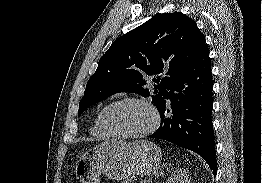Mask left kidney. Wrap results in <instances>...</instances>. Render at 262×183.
<instances>
[{
    "instance_id": "1",
    "label": "left kidney",
    "mask_w": 262,
    "mask_h": 183,
    "mask_svg": "<svg viewBox=\"0 0 262 183\" xmlns=\"http://www.w3.org/2000/svg\"><path fill=\"white\" fill-rule=\"evenodd\" d=\"M165 183H190V173L187 168L176 169Z\"/></svg>"
}]
</instances>
